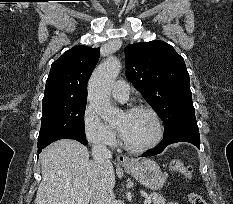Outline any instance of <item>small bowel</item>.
Returning a JSON list of instances; mask_svg holds the SVG:
<instances>
[{
    "label": "small bowel",
    "instance_id": "c3829d8e",
    "mask_svg": "<svg viewBox=\"0 0 233 204\" xmlns=\"http://www.w3.org/2000/svg\"><path fill=\"white\" fill-rule=\"evenodd\" d=\"M168 204H179V203H176V202H170V203H168Z\"/></svg>",
    "mask_w": 233,
    "mask_h": 204
}]
</instances>
